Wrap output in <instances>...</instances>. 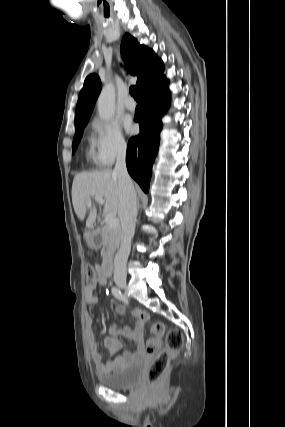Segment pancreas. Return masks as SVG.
<instances>
[{"label": "pancreas", "instance_id": "obj_1", "mask_svg": "<svg viewBox=\"0 0 285 427\" xmlns=\"http://www.w3.org/2000/svg\"><path fill=\"white\" fill-rule=\"evenodd\" d=\"M121 237V229L118 225L117 227H110L105 224L101 227V238L103 245L110 251H115L119 246Z\"/></svg>", "mask_w": 285, "mask_h": 427}]
</instances>
